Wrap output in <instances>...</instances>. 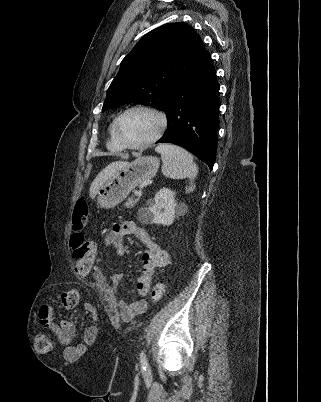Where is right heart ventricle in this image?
Instances as JSON below:
<instances>
[{"label":"right heart ventricle","mask_w":321,"mask_h":402,"mask_svg":"<svg viewBox=\"0 0 321 402\" xmlns=\"http://www.w3.org/2000/svg\"><path fill=\"white\" fill-rule=\"evenodd\" d=\"M106 147L114 153H120L121 151H123V148L120 146V144L116 140V137L114 134V121H112L108 127V139H107Z\"/></svg>","instance_id":"e07e8e85"}]
</instances>
